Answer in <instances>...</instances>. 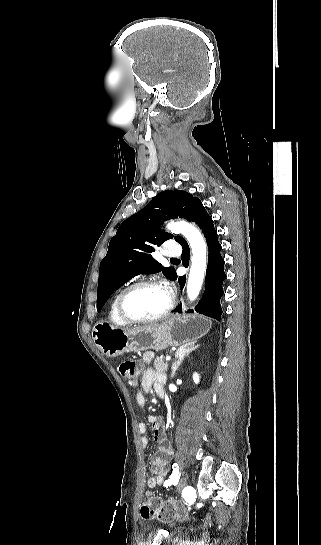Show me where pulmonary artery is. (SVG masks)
<instances>
[{"label": "pulmonary artery", "mask_w": 321, "mask_h": 545, "mask_svg": "<svg viewBox=\"0 0 321 545\" xmlns=\"http://www.w3.org/2000/svg\"><path fill=\"white\" fill-rule=\"evenodd\" d=\"M166 247L167 250L164 253L166 261H175L181 255V248L178 241H169Z\"/></svg>", "instance_id": "e3ab8cb5"}]
</instances>
